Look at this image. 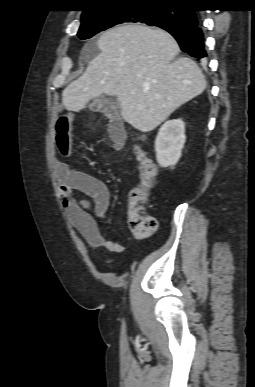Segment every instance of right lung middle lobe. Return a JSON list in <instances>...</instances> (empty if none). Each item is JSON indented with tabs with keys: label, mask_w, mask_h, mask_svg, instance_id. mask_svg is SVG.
Listing matches in <instances>:
<instances>
[{
	"label": "right lung middle lobe",
	"mask_w": 255,
	"mask_h": 387,
	"mask_svg": "<svg viewBox=\"0 0 255 387\" xmlns=\"http://www.w3.org/2000/svg\"><path fill=\"white\" fill-rule=\"evenodd\" d=\"M125 22H140L161 27L163 25H182L186 19L180 8L164 10L157 6L117 7L82 18L78 37L82 40L88 39L100 31Z\"/></svg>",
	"instance_id": "right-lung-middle-lobe-1"
}]
</instances>
